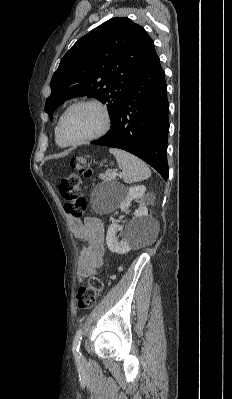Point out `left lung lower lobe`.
Masks as SVG:
<instances>
[{
	"label": "left lung lower lobe",
	"instance_id": "left-lung-lower-lobe-1",
	"mask_svg": "<svg viewBox=\"0 0 232 399\" xmlns=\"http://www.w3.org/2000/svg\"><path fill=\"white\" fill-rule=\"evenodd\" d=\"M168 111L165 72L152 41L130 82L111 129L91 143L128 151L167 180Z\"/></svg>",
	"mask_w": 232,
	"mask_h": 399
}]
</instances>
